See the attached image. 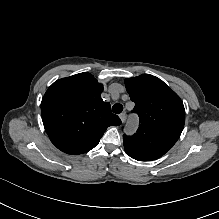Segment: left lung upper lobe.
<instances>
[{"label":"left lung upper lobe","mask_w":219,"mask_h":219,"mask_svg":"<svg viewBox=\"0 0 219 219\" xmlns=\"http://www.w3.org/2000/svg\"><path fill=\"white\" fill-rule=\"evenodd\" d=\"M133 112L139 116V128L132 136L123 135L126 153L138 161L160 158L179 139L185 109L180 97L162 80L142 74L125 80Z\"/></svg>","instance_id":"1"}]
</instances>
